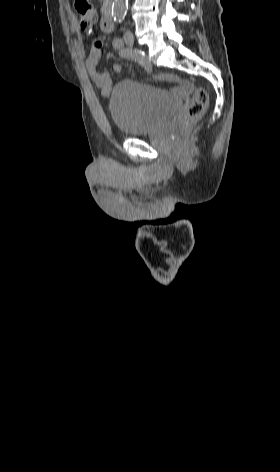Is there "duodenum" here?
<instances>
[{
    "mask_svg": "<svg viewBox=\"0 0 280 472\" xmlns=\"http://www.w3.org/2000/svg\"><path fill=\"white\" fill-rule=\"evenodd\" d=\"M101 28L104 32H111L114 29V23L111 16L110 4L107 3L101 19Z\"/></svg>",
    "mask_w": 280,
    "mask_h": 472,
    "instance_id": "duodenum-1",
    "label": "duodenum"
}]
</instances>
